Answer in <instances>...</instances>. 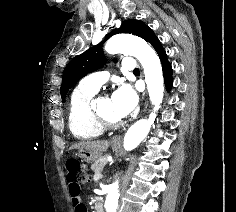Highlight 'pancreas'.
Listing matches in <instances>:
<instances>
[{"label": "pancreas", "mask_w": 236, "mask_h": 212, "mask_svg": "<svg viewBox=\"0 0 236 212\" xmlns=\"http://www.w3.org/2000/svg\"><path fill=\"white\" fill-rule=\"evenodd\" d=\"M106 163L105 158H98L94 163L91 165L92 171L95 173L94 175V180L97 181L98 179H95V176H100L101 175V170L103 166Z\"/></svg>", "instance_id": "cf45deb5"}]
</instances>
